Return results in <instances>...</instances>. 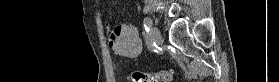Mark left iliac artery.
Returning a JSON list of instances; mask_svg holds the SVG:
<instances>
[{"instance_id":"44dca946","label":"left iliac artery","mask_w":279,"mask_h":82,"mask_svg":"<svg viewBox=\"0 0 279 82\" xmlns=\"http://www.w3.org/2000/svg\"><path fill=\"white\" fill-rule=\"evenodd\" d=\"M143 25H144V36L146 39L150 36V29L152 26V20L149 17L144 18L143 20Z\"/></svg>"}]
</instances>
